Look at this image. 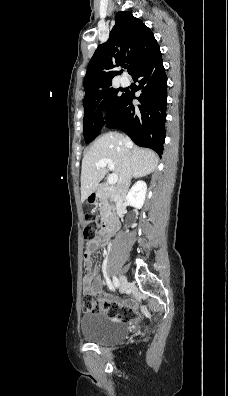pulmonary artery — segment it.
I'll return each mask as SVG.
<instances>
[{
	"label": "pulmonary artery",
	"instance_id": "pulmonary-artery-1",
	"mask_svg": "<svg viewBox=\"0 0 228 396\" xmlns=\"http://www.w3.org/2000/svg\"><path fill=\"white\" fill-rule=\"evenodd\" d=\"M129 83H130V80H129L128 77H125V76H124V77L121 78V84H122V86H128Z\"/></svg>",
	"mask_w": 228,
	"mask_h": 396
}]
</instances>
